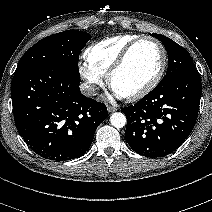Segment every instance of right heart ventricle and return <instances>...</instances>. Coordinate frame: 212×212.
<instances>
[{
    "instance_id": "e07e8e85",
    "label": "right heart ventricle",
    "mask_w": 212,
    "mask_h": 212,
    "mask_svg": "<svg viewBox=\"0 0 212 212\" xmlns=\"http://www.w3.org/2000/svg\"><path fill=\"white\" fill-rule=\"evenodd\" d=\"M137 38L139 36L135 34H121L103 39L85 50V59L90 65L105 75L126 46Z\"/></svg>"
}]
</instances>
